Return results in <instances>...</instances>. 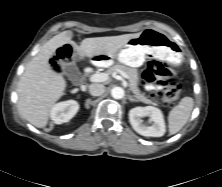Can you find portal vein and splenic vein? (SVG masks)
<instances>
[{"label":"portal vein and splenic vein","instance_id":"1","mask_svg":"<svg viewBox=\"0 0 222 187\" xmlns=\"http://www.w3.org/2000/svg\"><path fill=\"white\" fill-rule=\"evenodd\" d=\"M122 77L128 78V75L125 72H119ZM109 79L108 73H96L90 76L89 80L91 82H105Z\"/></svg>","mask_w":222,"mask_h":187}]
</instances>
